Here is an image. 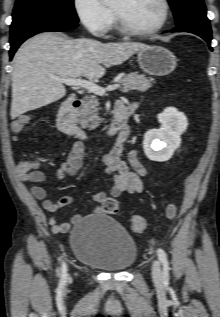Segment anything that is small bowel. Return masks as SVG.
<instances>
[{"label":"small bowel","instance_id":"c3829d8e","mask_svg":"<svg viewBox=\"0 0 220 317\" xmlns=\"http://www.w3.org/2000/svg\"><path fill=\"white\" fill-rule=\"evenodd\" d=\"M137 104L130 106V112H134ZM84 143L76 140L73 144L72 151L67 159L60 164L54 174L56 181L62 180L66 176H75L81 170L84 159ZM122 145H115L102 157V163L106 174L112 177L114 186L110 194L97 193L93 195V200L97 205L92 212L95 215L104 212V203L108 198L119 197L122 193L139 194L143 191L142 178L147 175V169L140 161L139 151L133 150L128 154L127 160L122 158ZM19 178L24 183H42L46 180V176L39 170V164L36 161L24 160L20 161L17 166ZM32 195L41 202L42 208L50 213L48 223L51 230L55 233H65L70 229L71 223H58L54 213L62 208L71 205L74 197L65 195L56 202L50 200L46 196L45 189L40 185H33L31 188ZM82 219V215L76 214L72 218V223H78Z\"/></svg>","mask_w":220,"mask_h":317}]
</instances>
